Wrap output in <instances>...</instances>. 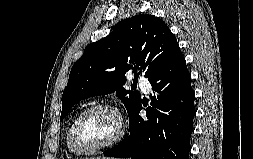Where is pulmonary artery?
I'll return each mask as SVG.
<instances>
[{"label": "pulmonary artery", "instance_id": "obj_1", "mask_svg": "<svg viewBox=\"0 0 253 159\" xmlns=\"http://www.w3.org/2000/svg\"><path fill=\"white\" fill-rule=\"evenodd\" d=\"M138 85L144 93H146V94L149 93L150 83H149L148 79L143 76V74L138 75Z\"/></svg>", "mask_w": 253, "mask_h": 159}]
</instances>
